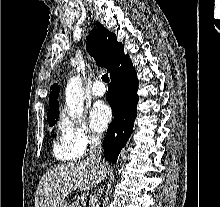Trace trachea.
Wrapping results in <instances>:
<instances>
[{
  "instance_id": "1",
  "label": "trachea",
  "mask_w": 220,
  "mask_h": 207,
  "mask_svg": "<svg viewBox=\"0 0 220 207\" xmlns=\"http://www.w3.org/2000/svg\"><path fill=\"white\" fill-rule=\"evenodd\" d=\"M102 80H103L104 82L108 83V82H109V76H108V74H104V75L102 76Z\"/></svg>"
}]
</instances>
